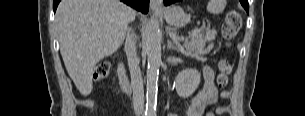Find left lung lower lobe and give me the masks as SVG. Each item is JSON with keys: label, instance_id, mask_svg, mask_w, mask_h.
Masks as SVG:
<instances>
[{"label": "left lung lower lobe", "instance_id": "0a47b994", "mask_svg": "<svg viewBox=\"0 0 305 116\" xmlns=\"http://www.w3.org/2000/svg\"><path fill=\"white\" fill-rule=\"evenodd\" d=\"M179 0H164V4L165 5H170L174 2H178ZM241 4L243 5V7L246 9L247 13H248V9H249V5H248V0H240Z\"/></svg>", "mask_w": 305, "mask_h": 116}]
</instances>
